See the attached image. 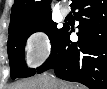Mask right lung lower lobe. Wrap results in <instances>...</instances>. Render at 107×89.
<instances>
[{"label": "right lung lower lobe", "instance_id": "right-lung-lower-lobe-1", "mask_svg": "<svg viewBox=\"0 0 107 89\" xmlns=\"http://www.w3.org/2000/svg\"><path fill=\"white\" fill-rule=\"evenodd\" d=\"M79 39L65 26L53 52L35 73L54 68L57 77L80 82L90 89L107 88V0H74Z\"/></svg>", "mask_w": 107, "mask_h": 89}]
</instances>
